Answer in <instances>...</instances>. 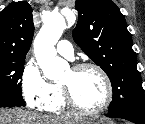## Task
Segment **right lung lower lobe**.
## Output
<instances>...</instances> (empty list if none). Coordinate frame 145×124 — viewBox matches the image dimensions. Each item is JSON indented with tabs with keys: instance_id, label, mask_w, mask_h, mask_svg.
Returning a JSON list of instances; mask_svg holds the SVG:
<instances>
[{
	"instance_id": "98d812e1",
	"label": "right lung lower lobe",
	"mask_w": 145,
	"mask_h": 124,
	"mask_svg": "<svg viewBox=\"0 0 145 124\" xmlns=\"http://www.w3.org/2000/svg\"><path fill=\"white\" fill-rule=\"evenodd\" d=\"M15 106H25V102L22 97L0 98V107H15Z\"/></svg>"
}]
</instances>
